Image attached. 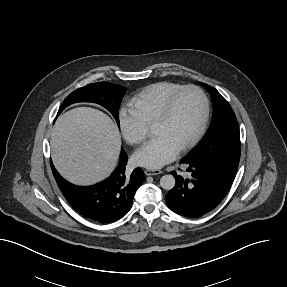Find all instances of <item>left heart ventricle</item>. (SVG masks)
I'll return each mask as SVG.
<instances>
[{
  "instance_id": "obj_1",
  "label": "left heart ventricle",
  "mask_w": 287,
  "mask_h": 287,
  "mask_svg": "<svg viewBox=\"0 0 287 287\" xmlns=\"http://www.w3.org/2000/svg\"><path fill=\"white\" fill-rule=\"evenodd\" d=\"M201 116L202 102L200 96L195 91H186L174 102L169 118L152 127L153 135L165 137L179 149L195 132Z\"/></svg>"
}]
</instances>
